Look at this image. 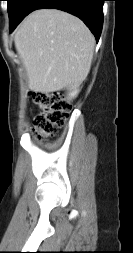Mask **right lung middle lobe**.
Instances as JSON below:
<instances>
[{
  "label": "right lung middle lobe",
  "mask_w": 133,
  "mask_h": 253,
  "mask_svg": "<svg viewBox=\"0 0 133 253\" xmlns=\"http://www.w3.org/2000/svg\"><path fill=\"white\" fill-rule=\"evenodd\" d=\"M9 13V28H12L20 16V7L25 0H6Z\"/></svg>",
  "instance_id": "obj_1"
}]
</instances>
